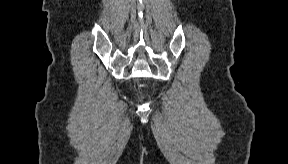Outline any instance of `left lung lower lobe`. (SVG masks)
I'll list each match as a JSON object with an SVG mask.
<instances>
[{
	"label": "left lung lower lobe",
	"instance_id": "1",
	"mask_svg": "<svg viewBox=\"0 0 288 164\" xmlns=\"http://www.w3.org/2000/svg\"><path fill=\"white\" fill-rule=\"evenodd\" d=\"M253 78L255 80L254 87L256 90H260L264 87L266 78L263 72L256 70L253 74L248 75V79Z\"/></svg>",
	"mask_w": 288,
	"mask_h": 164
}]
</instances>
